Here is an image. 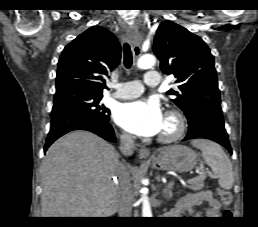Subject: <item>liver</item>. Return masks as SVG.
<instances>
[{
  "mask_svg": "<svg viewBox=\"0 0 258 227\" xmlns=\"http://www.w3.org/2000/svg\"><path fill=\"white\" fill-rule=\"evenodd\" d=\"M119 164L115 148L91 132L78 130L59 138L42 162V217L113 215L118 210Z\"/></svg>",
  "mask_w": 258,
  "mask_h": 227,
  "instance_id": "1",
  "label": "liver"
}]
</instances>
